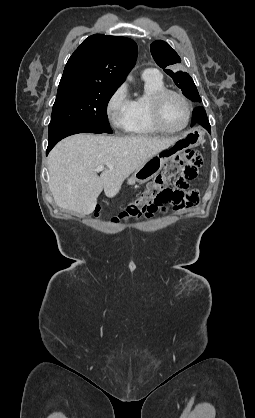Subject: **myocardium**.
Wrapping results in <instances>:
<instances>
[{
	"label": "myocardium",
	"instance_id": "1",
	"mask_svg": "<svg viewBox=\"0 0 255 418\" xmlns=\"http://www.w3.org/2000/svg\"><path fill=\"white\" fill-rule=\"evenodd\" d=\"M170 95H175L177 97H179L183 103L186 106V110H187V116H186V120L184 122V124L179 127V128H169L167 127L162 119V106H163V102L164 100L170 96ZM150 115H151V120L154 124V126L160 131V132H164V133H178L181 132L183 130H185L192 118V105L189 101V99L181 92L177 91V90H173V89H168V88H164L158 92H156L155 94L152 95L151 99H150Z\"/></svg>",
	"mask_w": 255,
	"mask_h": 418
}]
</instances>
